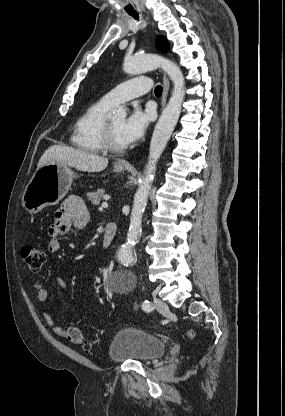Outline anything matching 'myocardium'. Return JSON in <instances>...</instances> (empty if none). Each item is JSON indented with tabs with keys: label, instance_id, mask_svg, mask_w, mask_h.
Wrapping results in <instances>:
<instances>
[{
	"label": "myocardium",
	"instance_id": "obj_1",
	"mask_svg": "<svg viewBox=\"0 0 285 416\" xmlns=\"http://www.w3.org/2000/svg\"><path fill=\"white\" fill-rule=\"evenodd\" d=\"M100 139L103 149L108 152L120 154L126 150V146H117L112 142L108 118H104L101 123Z\"/></svg>",
	"mask_w": 285,
	"mask_h": 416
}]
</instances>
